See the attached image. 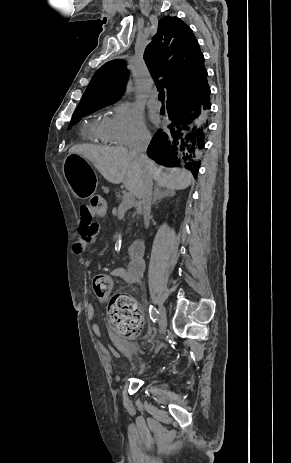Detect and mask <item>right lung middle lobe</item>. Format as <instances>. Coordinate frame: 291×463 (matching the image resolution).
I'll list each match as a JSON object with an SVG mask.
<instances>
[{
    "mask_svg": "<svg viewBox=\"0 0 291 463\" xmlns=\"http://www.w3.org/2000/svg\"><path fill=\"white\" fill-rule=\"evenodd\" d=\"M107 105H110V104H104V105H85V106H80L78 108H76L73 116H72V119H71V124H74L76 122H78V120L85 114L87 113H90V112H93L99 108H102L104 106H107Z\"/></svg>",
    "mask_w": 291,
    "mask_h": 463,
    "instance_id": "dd1d6c3e",
    "label": "right lung middle lobe"
}]
</instances>
